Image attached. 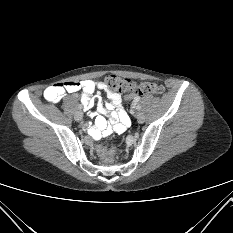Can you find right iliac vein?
<instances>
[{"label": "right iliac vein", "instance_id": "right-iliac-vein-1", "mask_svg": "<svg viewBox=\"0 0 233 233\" xmlns=\"http://www.w3.org/2000/svg\"><path fill=\"white\" fill-rule=\"evenodd\" d=\"M74 118L76 121H81L83 119V113L81 111L76 112Z\"/></svg>", "mask_w": 233, "mask_h": 233}]
</instances>
